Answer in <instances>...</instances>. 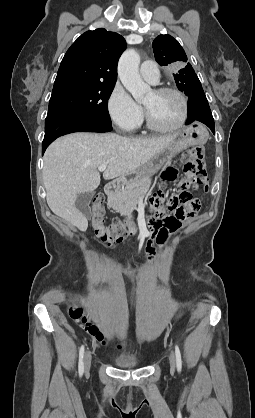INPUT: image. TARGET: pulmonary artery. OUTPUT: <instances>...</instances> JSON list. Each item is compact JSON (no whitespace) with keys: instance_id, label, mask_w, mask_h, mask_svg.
I'll use <instances>...</instances> for the list:
<instances>
[{"instance_id":"pulmonary-artery-1","label":"pulmonary artery","mask_w":255,"mask_h":418,"mask_svg":"<svg viewBox=\"0 0 255 418\" xmlns=\"http://www.w3.org/2000/svg\"><path fill=\"white\" fill-rule=\"evenodd\" d=\"M140 74L144 80L151 84H156L159 81L158 67L152 61H145L141 64Z\"/></svg>"}]
</instances>
